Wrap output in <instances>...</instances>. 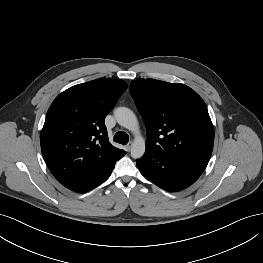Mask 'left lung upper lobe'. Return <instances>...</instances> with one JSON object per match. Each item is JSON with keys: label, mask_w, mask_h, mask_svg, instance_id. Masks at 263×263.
Here are the masks:
<instances>
[{"label": "left lung upper lobe", "mask_w": 263, "mask_h": 263, "mask_svg": "<svg viewBox=\"0 0 263 263\" xmlns=\"http://www.w3.org/2000/svg\"><path fill=\"white\" fill-rule=\"evenodd\" d=\"M147 128L146 153L174 156L206 168L214 144V127L206 104L180 83L138 79L130 84Z\"/></svg>", "instance_id": "obj_1"}]
</instances>
